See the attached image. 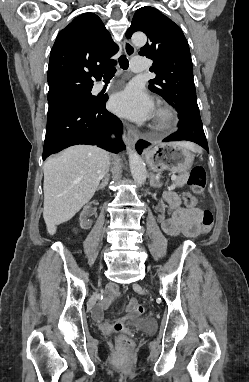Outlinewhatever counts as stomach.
Masks as SVG:
<instances>
[{
	"instance_id": "0dacf381",
	"label": "stomach",
	"mask_w": 249,
	"mask_h": 382,
	"mask_svg": "<svg viewBox=\"0 0 249 382\" xmlns=\"http://www.w3.org/2000/svg\"><path fill=\"white\" fill-rule=\"evenodd\" d=\"M146 161L152 171L184 174L190 170L194 155L181 142L161 143L146 152Z\"/></svg>"
}]
</instances>
